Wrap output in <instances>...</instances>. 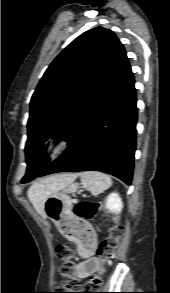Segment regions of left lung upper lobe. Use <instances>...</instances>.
<instances>
[{"label": "left lung upper lobe", "instance_id": "obj_1", "mask_svg": "<svg viewBox=\"0 0 170 293\" xmlns=\"http://www.w3.org/2000/svg\"><path fill=\"white\" fill-rule=\"evenodd\" d=\"M127 65L123 45L102 27L84 32L54 59L30 102L27 171L21 182L48 166L43 149L48 139L69 143Z\"/></svg>", "mask_w": 170, "mask_h": 293}]
</instances>
